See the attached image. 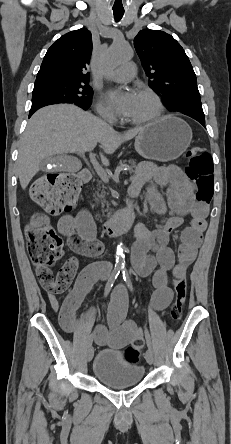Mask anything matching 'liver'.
Wrapping results in <instances>:
<instances>
[{"mask_svg": "<svg viewBox=\"0 0 231 444\" xmlns=\"http://www.w3.org/2000/svg\"><path fill=\"white\" fill-rule=\"evenodd\" d=\"M145 127L119 134L103 120L75 105L43 107L30 118L19 141L17 171L20 185L26 189L45 158L91 151L97 143L101 144L104 153L112 154L123 142L134 138ZM101 161L109 165V160L103 154Z\"/></svg>", "mask_w": 231, "mask_h": 444, "instance_id": "6515ba94", "label": "liver"}]
</instances>
